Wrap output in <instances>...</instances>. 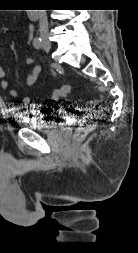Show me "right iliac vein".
<instances>
[{
  "mask_svg": "<svg viewBox=\"0 0 138 253\" xmlns=\"http://www.w3.org/2000/svg\"><path fill=\"white\" fill-rule=\"evenodd\" d=\"M43 44H44L45 48H47V49L51 48V44H50V42L48 41L47 38H43Z\"/></svg>",
  "mask_w": 138,
  "mask_h": 253,
  "instance_id": "obj_1",
  "label": "right iliac vein"
}]
</instances>
